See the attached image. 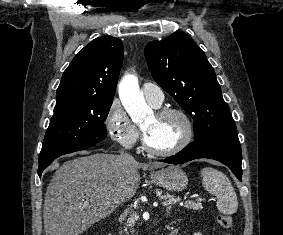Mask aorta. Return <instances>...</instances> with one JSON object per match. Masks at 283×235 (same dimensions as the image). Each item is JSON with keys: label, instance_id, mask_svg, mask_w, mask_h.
Wrapping results in <instances>:
<instances>
[{"label": "aorta", "instance_id": "obj_1", "mask_svg": "<svg viewBox=\"0 0 283 235\" xmlns=\"http://www.w3.org/2000/svg\"><path fill=\"white\" fill-rule=\"evenodd\" d=\"M118 92L121 103L133 122L140 123L152 113L139 89L138 79L135 75L125 74L119 83Z\"/></svg>", "mask_w": 283, "mask_h": 235}]
</instances>
